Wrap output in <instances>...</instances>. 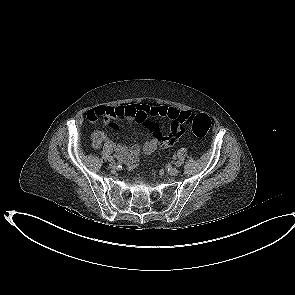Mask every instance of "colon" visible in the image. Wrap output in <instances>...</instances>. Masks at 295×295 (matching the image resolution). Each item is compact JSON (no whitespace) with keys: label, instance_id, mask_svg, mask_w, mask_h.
<instances>
[{"label":"colon","instance_id":"1","mask_svg":"<svg viewBox=\"0 0 295 295\" xmlns=\"http://www.w3.org/2000/svg\"><path fill=\"white\" fill-rule=\"evenodd\" d=\"M178 123L180 124V133L183 131V128L187 126L190 127L193 133L198 137H204L211 127V119L204 113L182 114L178 118ZM156 149L157 142L154 139H147L140 147V154L143 157H150Z\"/></svg>","mask_w":295,"mask_h":295}]
</instances>
